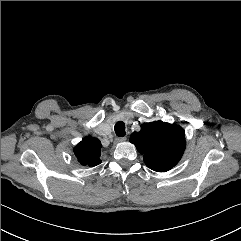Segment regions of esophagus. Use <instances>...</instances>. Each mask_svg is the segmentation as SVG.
<instances>
[{
    "label": "esophagus",
    "mask_w": 241,
    "mask_h": 241,
    "mask_svg": "<svg viewBox=\"0 0 241 241\" xmlns=\"http://www.w3.org/2000/svg\"><path fill=\"white\" fill-rule=\"evenodd\" d=\"M124 141H126V137H118V138L115 139L116 143L124 142Z\"/></svg>",
    "instance_id": "1"
}]
</instances>
